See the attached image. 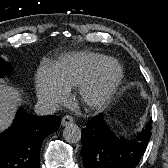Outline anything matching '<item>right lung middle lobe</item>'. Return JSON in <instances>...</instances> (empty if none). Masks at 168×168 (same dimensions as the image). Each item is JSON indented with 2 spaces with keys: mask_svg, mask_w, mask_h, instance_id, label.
Wrapping results in <instances>:
<instances>
[{
  "mask_svg": "<svg viewBox=\"0 0 168 168\" xmlns=\"http://www.w3.org/2000/svg\"><path fill=\"white\" fill-rule=\"evenodd\" d=\"M11 69L12 67L10 64L0 57V77H4L6 74L10 73Z\"/></svg>",
  "mask_w": 168,
  "mask_h": 168,
  "instance_id": "right-lung-middle-lobe-1",
  "label": "right lung middle lobe"
}]
</instances>
